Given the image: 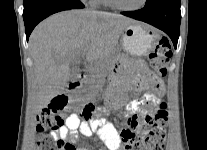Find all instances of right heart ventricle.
<instances>
[{"mask_svg": "<svg viewBox=\"0 0 207 150\" xmlns=\"http://www.w3.org/2000/svg\"><path fill=\"white\" fill-rule=\"evenodd\" d=\"M92 4L94 6L100 7V6H110V3L108 2V0H93Z\"/></svg>", "mask_w": 207, "mask_h": 150, "instance_id": "right-heart-ventricle-1", "label": "right heart ventricle"}]
</instances>
